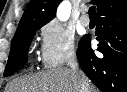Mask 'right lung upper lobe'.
<instances>
[{"label": "right lung upper lobe", "instance_id": "1", "mask_svg": "<svg viewBox=\"0 0 127 92\" xmlns=\"http://www.w3.org/2000/svg\"><path fill=\"white\" fill-rule=\"evenodd\" d=\"M60 2L61 0H31L19 22L15 36L27 28L45 25L52 20ZM92 3L97 6V14L115 11L127 6V0H92Z\"/></svg>", "mask_w": 127, "mask_h": 92}]
</instances>
